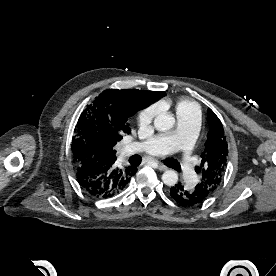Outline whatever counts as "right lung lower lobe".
Segmentation results:
<instances>
[{"label": "right lung lower lobe", "instance_id": "obj_1", "mask_svg": "<svg viewBox=\"0 0 276 276\" xmlns=\"http://www.w3.org/2000/svg\"><path fill=\"white\" fill-rule=\"evenodd\" d=\"M76 179L89 195L103 199L119 194L136 173L135 167L114 168L113 164L100 163L94 158L75 163Z\"/></svg>", "mask_w": 276, "mask_h": 276}]
</instances>
